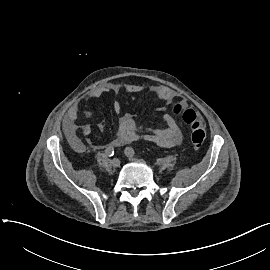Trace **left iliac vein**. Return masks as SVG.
I'll return each instance as SVG.
<instances>
[{
	"label": "left iliac vein",
	"instance_id": "4c4485c4",
	"mask_svg": "<svg viewBox=\"0 0 270 270\" xmlns=\"http://www.w3.org/2000/svg\"><path fill=\"white\" fill-rule=\"evenodd\" d=\"M125 154L129 158V160H131V161H141L142 162V160H139V159L135 158L134 156H132V155H130L128 153H125Z\"/></svg>",
	"mask_w": 270,
	"mask_h": 270
}]
</instances>
